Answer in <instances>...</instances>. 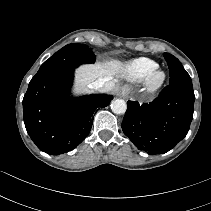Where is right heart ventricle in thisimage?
<instances>
[{"mask_svg": "<svg viewBox=\"0 0 211 211\" xmlns=\"http://www.w3.org/2000/svg\"><path fill=\"white\" fill-rule=\"evenodd\" d=\"M159 64L149 58H138L130 62L125 68V76L129 81L141 82L158 69Z\"/></svg>", "mask_w": 211, "mask_h": 211, "instance_id": "right-heart-ventricle-1", "label": "right heart ventricle"}]
</instances>
